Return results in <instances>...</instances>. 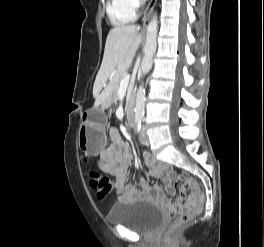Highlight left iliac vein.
Here are the masks:
<instances>
[{
  "mask_svg": "<svg viewBox=\"0 0 264 247\" xmlns=\"http://www.w3.org/2000/svg\"><path fill=\"white\" fill-rule=\"evenodd\" d=\"M139 140L143 145H147L149 143L148 136L144 127H142L140 131Z\"/></svg>",
  "mask_w": 264,
  "mask_h": 247,
  "instance_id": "obj_1",
  "label": "left iliac vein"
}]
</instances>
